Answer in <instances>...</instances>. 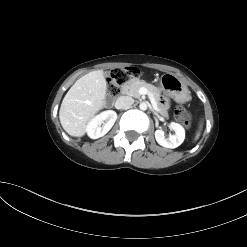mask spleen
<instances>
[{
    "label": "spleen",
    "instance_id": "1",
    "mask_svg": "<svg viewBox=\"0 0 247 247\" xmlns=\"http://www.w3.org/2000/svg\"><path fill=\"white\" fill-rule=\"evenodd\" d=\"M202 127V124L200 125V128ZM199 136H200V131H198L197 133H196V136H195V140H197L198 138H199Z\"/></svg>",
    "mask_w": 247,
    "mask_h": 247
}]
</instances>
